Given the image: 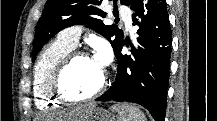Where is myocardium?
Masks as SVG:
<instances>
[{"mask_svg": "<svg viewBox=\"0 0 217 121\" xmlns=\"http://www.w3.org/2000/svg\"><path fill=\"white\" fill-rule=\"evenodd\" d=\"M80 58H93V57L86 51H81V50L71 51L56 66V68L53 71L50 80L51 93L53 97L56 98V100L62 103L82 104V103L90 102L95 98H97L99 95H101L107 86L108 73L107 71H104L100 84L91 94L83 97H73L67 94L63 84L64 75L67 72V70L75 63V61H77Z\"/></svg>", "mask_w": 217, "mask_h": 121, "instance_id": "1", "label": "myocardium"}]
</instances>
